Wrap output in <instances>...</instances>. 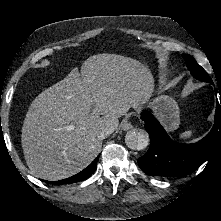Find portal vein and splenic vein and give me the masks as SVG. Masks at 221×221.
<instances>
[{"instance_id":"18ae733b","label":"portal vein and splenic vein","mask_w":221,"mask_h":221,"mask_svg":"<svg viewBox=\"0 0 221 221\" xmlns=\"http://www.w3.org/2000/svg\"><path fill=\"white\" fill-rule=\"evenodd\" d=\"M74 128H75V126L71 124V125L66 127V130L70 131V130H73Z\"/></svg>"}]
</instances>
